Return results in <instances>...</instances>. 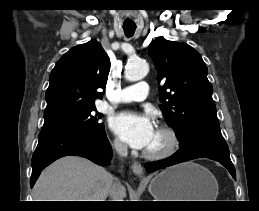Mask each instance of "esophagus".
<instances>
[{
	"mask_svg": "<svg viewBox=\"0 0 259 211\" xmlns=\"http://www.w3.org/2000/svg\"><path fill=\"white\" fill-rule=\"evenodd\" d=\"M131 169L133 171V173L139 177L140 179H144V171H143V167L141 165V163L139 162H133L131 165Z\"/></svg>",
	"mask_w": 259,
	"mask_h": 211,
	"instance_id": "obj_1",
	"label": "esophagus"
}]
</instances>
